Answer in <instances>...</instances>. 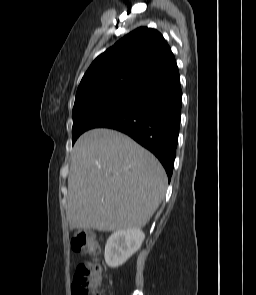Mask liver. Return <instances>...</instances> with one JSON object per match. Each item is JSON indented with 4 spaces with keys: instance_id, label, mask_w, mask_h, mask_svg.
<instances>
[{
    "instance_id": "obj_1",
    "label": "liver",
    "mask_w": 256,
    "mask_h": 295,
    "mask_svg": "<svg viewBox=\"0 0 256 295\" xmlns=\"http://www.w3.org/2000/svg\"><path fill=\"white\" fill-rule=\"evenodd\" d=\"M167 175L158 159L130 137L93 129L76 141L68 177L70 229L144 227L159 207Z\"/></svg>"
}]
</instances>
